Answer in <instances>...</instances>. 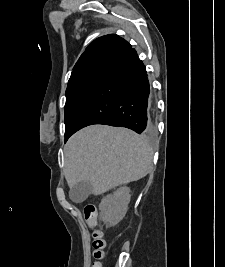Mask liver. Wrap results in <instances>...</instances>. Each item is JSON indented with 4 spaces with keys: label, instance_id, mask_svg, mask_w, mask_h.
Returning a JSON list of instances; mask_svg holds the SVG:
<instances>
[{
    "label": "liver",
    "instance_id": "1",
    "mask_svg": "<svg viewBox=\"0 0 225 267\" xmlns=\"http://www.w3.org/2000/svg\"><path fill=\"white\" fill-rule=\"evenodd\" d=\"M64 156L68 186L88 181L91 193L100 195L145 177L152 169L153 150L129 129L96 124L75 133Z\"/></svg>",
    "mask_w": 225,
    "mask_h": 267
}]
</instances>
